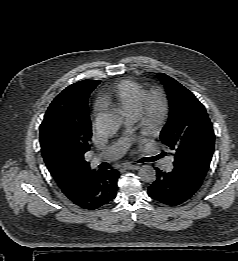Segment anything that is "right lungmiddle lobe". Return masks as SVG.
I'll use <instances>...</instances> for the list:
<instances>
[{
    "label": "right lung middle lobe",
    "mask_w": 238,
    "mask_h": 261,
    "mask_svg": "<svg viewBox=\"0 0 238 261\" xmlns=\"http://www.w3.org/2000/svg\"><path fill=\"white\" fill-rule=\"evenodd\" d=\"M74 101V92L67 87L52 101L47 109L40 127V144L44 161H55L63 155L62 150L51 135L48 125L51 121L70 117Z\"/></svg>",
    "instance_id": "dd1d6c3e"
}]
</instances>
